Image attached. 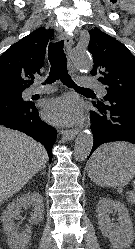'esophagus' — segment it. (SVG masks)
<instances>
[{"mask_svg": "<svg viewBox=\"0 0 135 249\" xmlns=\"http://www.w3.org/2000/svg\"><path fill=\"white\" fill-rule=\"evenodd\" d=\"M59 38L60 40H64L65 42V48H66V51L69 53L71 48H72V45H73V38L71 35H67L63 32H61L59 34ZM67 63H68V66L71 70H74V66L71 62V60L69 58H67ZM62 135L65 139L71 141L73 140L76 135L78 134V129H70V130H63L62 132Z\"/></svg>", "mask_w": 135, "mask_h": 249, "instance_id": "esophagus-1", "label": "esophagus"}]
</instances>
